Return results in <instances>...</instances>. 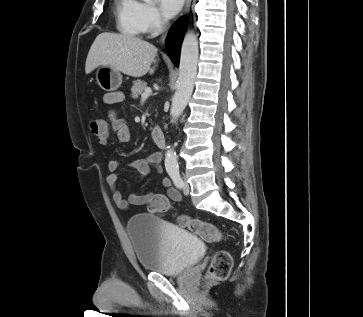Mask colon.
<instances>
[{"label": "colon", "mask_w": 363, "mask_h": 317, "mask_svg": "<svg viewBox=\"0 0 363 317\" xmlns=\"http://www.w3.org/2000/svg\"><path fill=\"white\" fill-rule=\"evenodd\" d=\"M89 129L94 135H101L105 131V122L102 119H90ZM166 206L167 204L164 200H154L149 204V210L152 214L159 215L163 213V209ZM178 222L181 226L199 235L206 242H218L223 238L221 231L212 223L203 222L187 216H179ZM231 269L232 258L230 254L226 251H218L211 259L206 279H226L230 275Z\"/></svg>", "instance_id": "obj_1"}]
</instances>
